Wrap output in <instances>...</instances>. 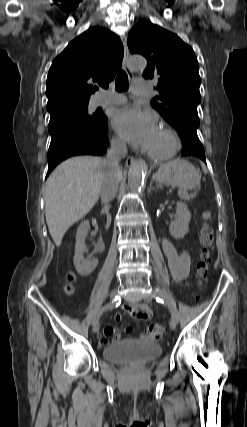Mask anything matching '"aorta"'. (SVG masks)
<instances>
[{"label": "aorta", "instance_id": "1", "mask_svg": "<svg viewBox=\"0 0 247 427\" xmlns=\"http://www.w3.org/2000/svg\"><path fill=\"white\" fill-rule=\"evenodd\" d=\"M132 70H140L146 67V60L142 56H132L128 60ZM146 164L142 161L134 162L128 172V186L132 192H139L143 187Z\"/></svg>", "mask_w": 247, "mask_h": 427}]
</instances>
